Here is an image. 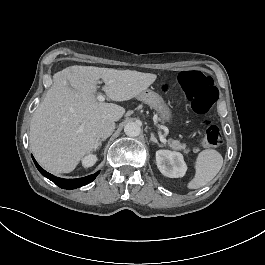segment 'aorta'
Wrapping results in <instances>:
<instances>
[{
	"label": "aorta",
	"mask_w": 265,
	"mask_h": 265,
	"mask_svg": "<svg viewBox=\"0 0 265 265\" xmlns=\"http://www.w3.org/2000/svg\"><path fill=\"white\" fill-rule=\"evenodd\" d=\"M124 132L129 137H136L140 135L141 128L136 122H129L124 126Z\"/></svg>",
	"instance_id": "obj_1"
}]
</instances>
